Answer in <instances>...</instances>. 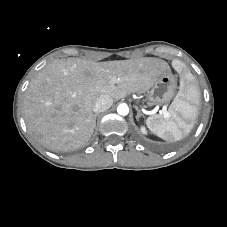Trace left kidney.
<instances>
[{
	"label": "left kidney",
	"mask_w": 227,
	"mask_h": 227,
	"mask_svg": "<svg viewBox=\"0 0 227 227\" xmlns=\"http://www.w3.org/2000/svg\"><path fill=\"white\" fill-rule=\"evenodd\" d=\"M140 132L144 135H147V130H146L145 126L140 125Z\"/></svg>",
	"instance_id": "left-kidney-1"
}]
</instances>
